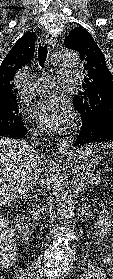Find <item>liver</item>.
Here are the masks:
<instances>
[{
	"label": "liver",
	"mask_w": 113,
	"mask_h": 279,
	"mask_svg": "<svg viewBox=\"0 0 113 279\" xmlns=\"http://www.w3.org/2000/svg\"><path fill=\"white\" fill-rule=\"evenodd\" d=\"M39 161L26 142L0 137V206L28 192Z\"/></svg>",
	"instance_id": "1"
}]
</instances>
